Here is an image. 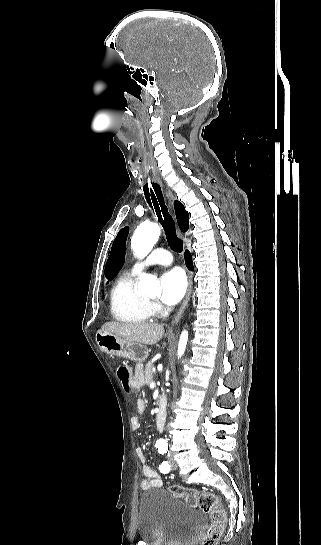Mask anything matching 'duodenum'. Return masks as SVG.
I'll return each mask as SVG.
<instances>
[{
	"mask_svg": "<svg viewBox=\"0 0 321 545\" xmlns=\"http://www.w3.org/2000/svg\"><path fill=\"white\" fill-rule=\"evenodd\" d=\"M166 419V398L164 396H160L158 400V412L156 415V428L158 431L163 430L164 424Z\"/></svg>",
	"mask_w": 321,
	"mask_h": 545,
	"instance_id": "duodenum-1",
	"label": "duodenum"
}]
</instances>
